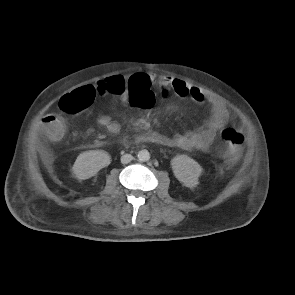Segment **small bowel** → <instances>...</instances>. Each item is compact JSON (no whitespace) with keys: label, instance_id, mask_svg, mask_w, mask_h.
<instances>
[{"label":"small bowel","instance_id":"1","mask_svg":"<svg viewBox=\"0 0 295 295\" xmlns=\"http://www.w3.org/2000/svg\"><path fill=\"white\" fill-rule=\"evenodd\" d=\"M151 86H158L164 96L173 93L178 97L188 98L196 103H206L210 106L212 114L206 125L199 130L175 134L173 136L149 131L139 135L137 139L142 142L177 147L184 150L197 149L207 151L214 142L218 131L228 123L229 113L226 106L220 101L205 95L199 88L183 80L169 76H158L147 72H137L127 78L126 91L121 95V100L123 102H128L127 87ZM53 115L54 114H50L44 118L42 123L44 132ZM99 124L112 134H116L120 131L119 122L108 115L101 116L99 118Z\"/></svg>","mask_w":295,"mask_h":295}]
</instances>
